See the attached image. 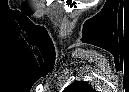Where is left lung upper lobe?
<instances>
[{
    "instance_id": "1",
    "label": "left lung upper lobe",
    "mask_w": 129,
    "mask_h": 92,
    "mask_svg": "<svg viewBox=\"0 0 129 92\" xmlns=\"http://www.w3.org/2000/svg\"><path fill=\"white\" fill-rule=\"evenodd\" d=\"M64 92H95L85 81H76L64 89Z\"/></svg>"
}]
</instances>
